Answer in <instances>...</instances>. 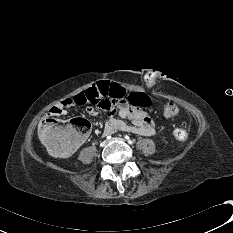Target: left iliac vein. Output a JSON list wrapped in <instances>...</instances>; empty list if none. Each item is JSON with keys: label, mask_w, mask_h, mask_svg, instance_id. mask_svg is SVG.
I'll list each match as a JSON object with an SVG mask.
<instances>
[{"label": "left iliac vein", "mask_w": 233, "mask_h": 233, "mask_svg": "<svg viewBox=\"0 0 233 233\" xmlns=\"http://www.w3.org/2000/svg\"><path fill=\"white\" fill-rule=\"evenodd\" d=\"M111 140H119V141H124V139H122V138H120V137L112 138Z\"/></svg>", "instance_id": "obj_1"}]
</instances>
